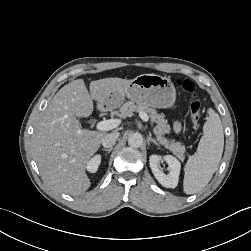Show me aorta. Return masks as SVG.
Returning a JSON list of instances; mask_svg holds the SVG:
<instances>
[{"mask_svg": "<svg viewBox=\"0 0 251 251\" xmlns=\"http://www.w3.org/2000/svg\"><path fill=\"white\" fill-rule=\"evenodd\" d=\"M128 144L131 147L139 148L143 144V137L140 133H134L128 138Z\"/></svg>", "mask_w": 251, "mask_h": 251, "instance_id": "762f6f07", "label": "aorta"}]
</instances>
